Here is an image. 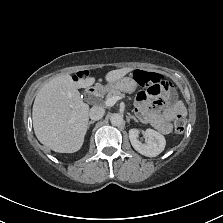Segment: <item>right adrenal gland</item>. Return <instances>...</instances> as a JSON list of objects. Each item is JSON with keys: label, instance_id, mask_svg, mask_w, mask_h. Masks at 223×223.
Listing matches in <instances>:
<instances>
[{"label": "right adrenal gland", "instance_id": "2a0ac1e0", "mask_svg": "<svg viewBox=\"0 0 223 223\" xmlns=\"http://www.w3.org/2000/svg\"><path fill=\"white\" fill-rule=\"evenodd\" d=\"M93 123H95V121H89L88 124H87V129H89L90 125L93 124Z\"/></svg>", "mask_w": 223, "mask_h": 223}]
</instances>
